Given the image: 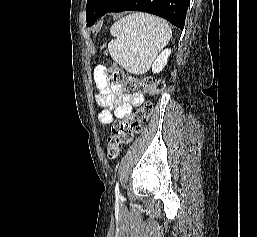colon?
Segmentation results:
<instances>
[{
  "label": "colon",
  "instance_id": "colon-1",
  "mask_svg": "<svg viewBox=\"0 0 257 237\" xmlns=\"http://www.w3.org/2000/svg\"><path fill=\"white\" fill-rule=\"evenodd\" d=\"M108 78L114 85L121 86L126 91L137 90L150 97H156L164 89V82L151 76L135 79L125 75L123 70L112 65L106 72ZM153 112L152 101L145 102L127 118L116 121L112 125V134L108 137V157L117 158L123 145L130 143L134 136L142 131L144 124L149 120Z\"/></svg>",
  "mask_w": 257,
  "mask_h": 237
}]
</instances>
